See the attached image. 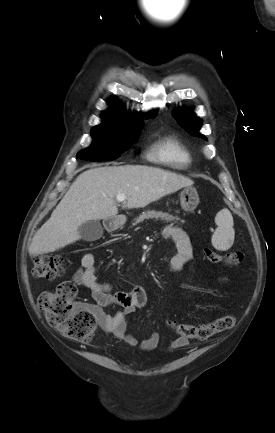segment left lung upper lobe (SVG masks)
<instances>
[{
	"label": "left lung upper lobe",
	"mask_w": 275,
	"mask_h": 433,
	"mask_svg": "<svg viewBox=\"0 0 275 433\" xmlns=\"http://www.w3.org/2000/svg\"><path fill=\"white\" fill-rule=\"evenodd\" d=\"M173 117L177 120L179 125L183 127L186 131L194 136H198L207 140L204 135L199 133L201 123L199 119L193 114L192 110H178L174 113Z\"/></svg>",
	"instance_id": "5c2ea615"
}]
</instances>
